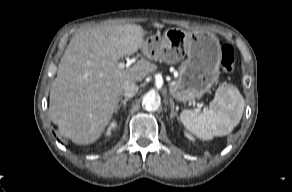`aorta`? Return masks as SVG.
I'll return each mask as SVG.
<instances>
[{
    "label": "aorta",
    "instance_id": "762f6f07",
    "mask_svg": "<svg viewBox=\"0 0 292 192\" xmlns=\"http://www.w3.org/2000/svg\"><path fill=\"white\" fill-rule=\"evenodd\" d=\"M144 108L148 111H155L160 106V100L154 92H148L142 99Z\"/></svg>",
    "mask_w": 292,
    "mask_h": 192
}]
</instances>
